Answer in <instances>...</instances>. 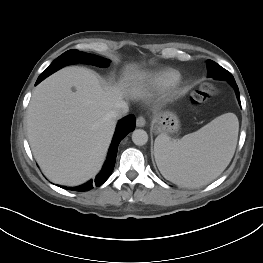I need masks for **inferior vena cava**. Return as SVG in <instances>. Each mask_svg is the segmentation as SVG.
I'll use <instances>...</instances> for the list:
<instances>
[{"instance_id":"1","label":"inferior vena cava","mask_w":263,"mask_h":263,"mask_svg":"<svg viewBox=\"0 0 263 263\" xmlns=\"http://www.w3.org/2000/svg\"><path fill=\"white\" fill-rule=\"evenodd\" d=\"M129 111L128 104L124 101L117 104V106L111 111L110 115L114 119H120L127 115Z\"/></svg>"}]
</instances>
